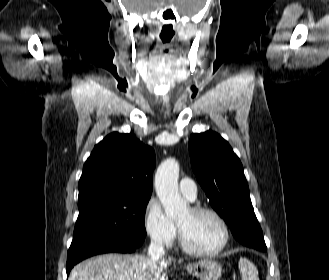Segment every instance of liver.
I'll list each match as a JSON object with an SVG mask.
<instances>
[{
	"label": "liver",
	"instance_id": "1",
	"mask_svg": "<svg viewBox=\"0 0 329 280\" xmlns=\"http://www.w3.org/2000/svg\"><path fill=\"white\" fill-rule=\"evenodd\" d=\"M171 258L153 261L145 255L105 254L76 265L68 280H168Z\"/></svg>",
	"mask_w": 329,
	"mask_h": 280
}]
</instances>
